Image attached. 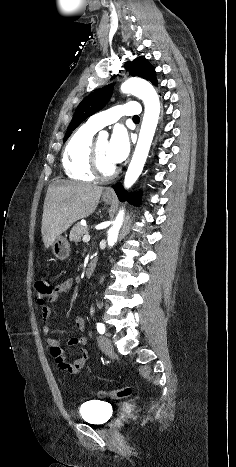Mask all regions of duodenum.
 <instances>
[{
	"mask_svg": "<svg viewBox=\"0 0 236 467\" xmlns=\"http://www.w3.org/2000/svg\"><path fill=\"white\" fill-rule=\"evenodd\" d=\"M96 268V263L94 260H90L85 269L86 276H92Z\"/></svg>",
	"mask_w": 236,
	"mask_h": 467,
	"instance_id": "1",
	"label": "duodenum"
}]
</instances>
